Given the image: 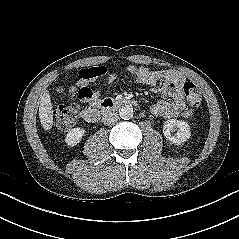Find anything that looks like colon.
<instances>
[{
	"mask_svg": "<svg viewBox=\"0 0 239 239\" xmlns=\"http://www.w3.org/2000/svg\"><path fill=\"white\" fill-rule=\"evenodd\" d=\"M107 70L104 67L94 69L90 75H104ZM182 90L193 106H198L201 103V93L199 88L191 81H186L182 85ZM78 107L75 104L60 105L55 110L56 126L62 131L70 130L77 119Z\"/></svg>",
	"mask_w": 239,
	"mask_h": 239,
	"instance_id": "colon-1",
	"label": "colon"
}]
</instances>
